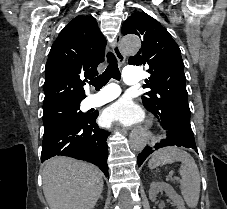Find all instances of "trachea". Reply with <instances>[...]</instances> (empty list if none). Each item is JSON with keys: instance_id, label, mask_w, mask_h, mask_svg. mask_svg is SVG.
<instances>
[{"instance_id": "1", "label": "trachea", "mask_w": 227, "mask_h": 209, "mask_svg": "<svg viewBox=\"0 0 227 209\" xmlns=\"http://www.w3.org/2000/svg\"><path fill=\"white\" fill-rule=\"evenodd\" d=\"M107 62L108 66L105 72H103L102 75H99L98 77L90 81V84L94 85L96 90H100L104 85L107 84V82H109L111 78L116 80H120L121 78L116 57L112 52L107 53Z\"/></svg>"}]
</instances>
